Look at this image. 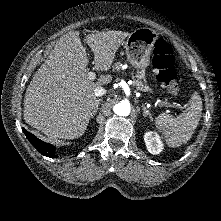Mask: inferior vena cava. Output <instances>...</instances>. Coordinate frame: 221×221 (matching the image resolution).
I'll use <instances>...</instances> for the list:
<instances>
[{
  "label": "inferior vena cava",
  "mask_w": 221,
  "mask_h": 221,
  "mask_svg": "<svg viewBox=\"0 0 221 221\" xmlns=\"http://www.w3.org/2000/svg\"><path fill=\"white\" fill-rule=\"evenodd\" d=\"M94 94L96 97L103 96L104 94H106V90L103 87L98 86L95 88Z\"/></svg>",
  "instance_id": "602c4592"
}]
</instances>
